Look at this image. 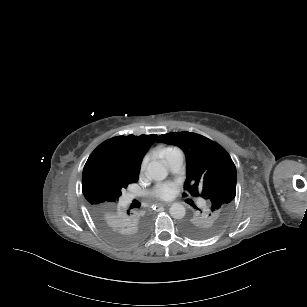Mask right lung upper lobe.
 Returning <instances> with one entry per match:
<instances>
[{"instance_id":"right-lung-upper-lobe-1","label":"right lung upper lobe","mask_w":307,"mask_h":307,"mask_svg":"<svg viewBox=\"0 0 307 307\" xmlns=\"http://www.w3.org/2000/svg\"><path fill=\"white\" fill-rule=\"evenodd\" d=\"M156 135L117 136L98 146L89 156L82 174V191L97 224L115 235L135 238L148 227L140 202L132 210L122 201V191L136 183L140 166Z\"/></svg>"}]
</instances>
